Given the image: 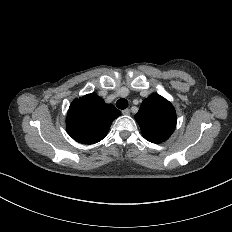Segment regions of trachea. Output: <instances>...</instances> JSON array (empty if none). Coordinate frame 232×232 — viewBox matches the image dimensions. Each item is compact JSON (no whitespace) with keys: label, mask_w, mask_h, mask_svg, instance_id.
Returning a JSON list of instances; mask_svg holds the SVG:
<instances>
[{"label":"trachea","mask_w":232,"mask_h":232,"mask_svg":"<svg viewBox=\"0 0 232 232\" xmlns=\"http://www.w3.org/2000/svg\"><path fill=\"white\" fill-rule=\"evenodd\" d=\"M116 106L121 109V110H124L128 107V101L124 98H121L119 99L117 102H116Z\"/></svg>","instance_id":"obj_1"}]
</instances>
